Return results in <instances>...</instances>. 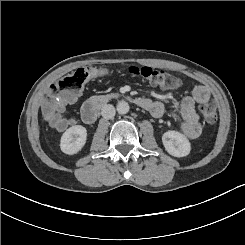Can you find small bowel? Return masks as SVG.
<instances>
[{"mask_svg": "<svg viewBox=\"0 0 245 245\" xmlns=\"http://www.w3.org/2000/svg\"><path fill=\"white\" fill-rule=\"evenodd\" d=\"M209 98L210 93L208 89L204 86H197L193 90L192 95L186 96L182 99L180 104V113L182 117L181 130L187 137L194 139L200 136L202 128L199 116L195 110V104L206 102ZM75 100L76 96L69 99L60 98L54 109L51 111L44 109V101L42 104L44 120L51 128L59 132H63L68 127L75 125L77 121L76 118L74 116L67 117L65 115L68 105L72 104ZM152 103L153 106L150 109L151 114L154 117L162 116L165 112V106L161 102Z\"/></svg>", "mask_w": 245, "mask_h": 245, "instance_id": "small-bowel-1", "label": "small bowel"}]
</instances>
